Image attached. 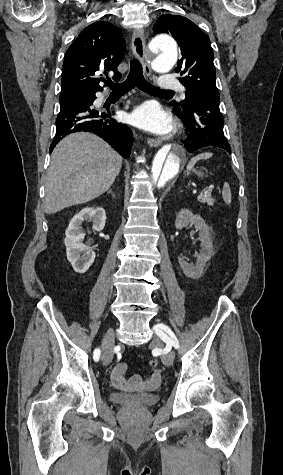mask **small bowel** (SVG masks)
Listing matches in <instances>:
<instances>
[{
  "label": "small bowel",
  "mask_w": 283,
  "mask_h": 475,
  "mask_svg": "<svg viewBox=\"0 0 283 475\" xmlns=\"http://www.w3.org/2000/svg\"><path fill=\"white\" fill-rule=\"evenodd\" d=\"M127 370V365L124 362H118L112 369L110 374V380L112 385L119 390L127 391L130 389L131 385H136L140 383V373L134 372L133 376L129 379L125 376ZM161 380V372L159 369H156L149 377L148 381L151 385L156 386Z\"/></svg>",
  "instance_id": "obj_1"
}]
</instances>
